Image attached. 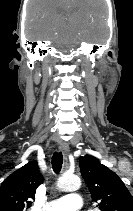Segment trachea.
<instances>
[{
  "label": "trachea",
  "instance_id": "1",
  "mask_svg": "<svg viewBox=\"0 0 133 211\" xmlns=\"http://www.w3.org/2000/svg\"><path fill=\"white\" fill-rule=\"evenodd\" d=\"M63 157L61 152H55L52 156V168L55 173H59L62 168Z\"/></svg>",
  "mask_w": 133,
  "mask_h": 211
}]
</instances>
